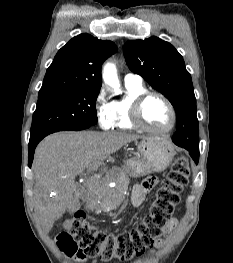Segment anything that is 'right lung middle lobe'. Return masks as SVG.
Listing matches in <instances>:
<instances>
[{"label": "right lung middle lobe", "mask_w": 233, "mask_h": 263, "mask_svg": "<svg viewBox=\"0 0 233 263\" xmlns=\"http://www.w3.org/2000/svg\"><path fill=\"white\" fill-rule=\"evenodd\" d=\"M100 89H68L38 96L30 141L61 129L97 123L95 109Z\"/></svg>", "instance_id": "obj_1"}]
</instances>
